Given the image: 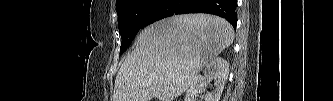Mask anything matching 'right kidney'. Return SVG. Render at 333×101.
Wrapping results in <instances>:
<instances>
[{"mask_svg":"<svg viewBox=\"0 0 333 101\" xmlns=\"http://www.w3.org/2000/svg\"><path fill=\"white\" fill-rule=\"evenodd\" d=\"M204 76H197L186 92L185 101H194L202 89L214 80V87L211 92L205 94V101H219L228 78L229 64L222 57H216L205 67Z\"/></svg>","mask_w":333,"mask_h":101,"instance_id":"right-kidney-1","label":"right kidney"}]
</instances>
